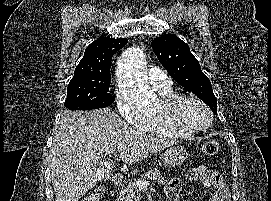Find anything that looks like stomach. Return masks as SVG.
Here are the masks:
<instances>
[{
  "label": "stomach",
  "instance_id": "obj_1",
  "mask_svg": "<svg viewBox=\"0 0 271 201\" xmlns=\"http://www.w3.org/2000/svg\"><path fill=\"white\" fill-rule=\"evenodd\" d=\"M188 158V152L182 146H173L162 154L163 164L166 167H176L183 164Z\"/></svg>",
  "mask_w": 271,
  "mask_h": 201
}]
</instances>
